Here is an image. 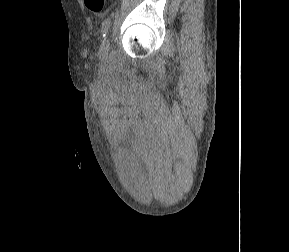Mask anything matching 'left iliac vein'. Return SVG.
<instances>
[{
	"label": "left iliac vein",
	"instance_id": "left-iliac-vein-1",
	"mask_svg": "<svg viewBox=\"0 0 289 252\" xmlns=\"http://www.w3.org/2000/svg\"><path fill=\"white\" fill-rule=\"evenodd\" d=\"M108 46H109V39L107 37H105L101 43L100 50L105 51V50H107Z\"/></svg>",
	"mask_w": 289,
	"mask_h": 252
}]
</instances>
